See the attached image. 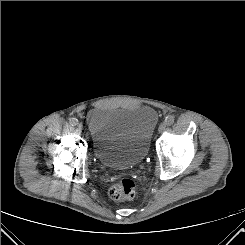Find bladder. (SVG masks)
Wrapping results in <instances>:
<instances>
[{
  "instance_id": "31cf9c89",
  "label": "bladder",
  "mask_w": 245,
  "mask_h": 245,
  "mask_svg": "<svg viewBox=\"0 0 245 245\" xmlns=\"http://www.w3.org/2000/svg\"><path fill=\"white\" fill-rule=\"evenodd\" d=\"M157 122V112L148 105L95 107L86 116L97 160L115 170L134 167L145 158Z\"/></svg>"
}]
</instances>
